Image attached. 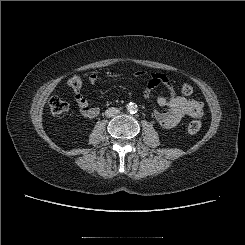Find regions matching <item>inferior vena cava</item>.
Here are the masks:
<instances>
[{
    "instance_id": "1",
    "label": "inferior vena cava",
    "mask_w": 245,
    "mask_h": 245,
    "mask_svg": "<svg viewBox=\"0 0 245 245\" xmlns=\"http://www.w3.org/2000/svg\"><path fill=\"white\" fill-rule=\"evenodd\" d=\"M119 112H120L119 109L111 107L105 111V116L110 118V117L117 115Z\"/></svg>"
}]
</instances>
